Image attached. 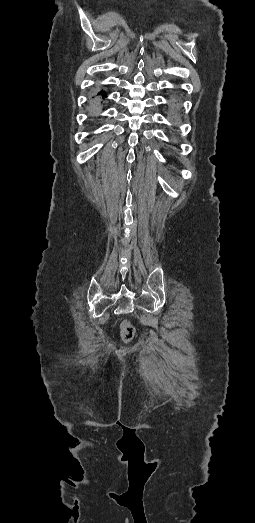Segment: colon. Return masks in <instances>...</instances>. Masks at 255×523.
Wrapping results in <instances>:
<instances>
[{
	"instance_id": "1",
	"label": "colon",
	"mask_w": 255,
	"mask_h": 523,
	"mask_svg": "<svg viewBox=\"0 0 255 523\" xmlns=\"http://www.w3.org/2000/svg\"><path fill=\"white\" fill-rule=\"evenodd\" d=\"M120 328L121 338L123 339V341L129 342L133 338L135 333L133 325L129 321L125 320L121 323Z\"/></svg>"
}]
</instances>
